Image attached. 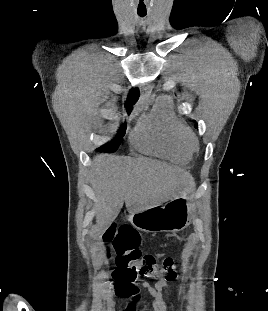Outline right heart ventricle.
Listing matches in <instances>:
<instances>
[{"label":"right heart ventricle","instance_id":"right-heart-ventricle-1","mask_svg":"<svg viewBox=\"0 0 268 311\" xmlns=\"http://www.w3.org/2000/svg\"><path fill=\"white\" fill-rule=\"evenodd\" d=\"M180 124L169 102L160 98L150 112L138 120L132 142L143 152L176 163H186L190 160L191 153L179 138Z\"/></svg>","mask_w":268,"mask_h":311}]
</instances>
